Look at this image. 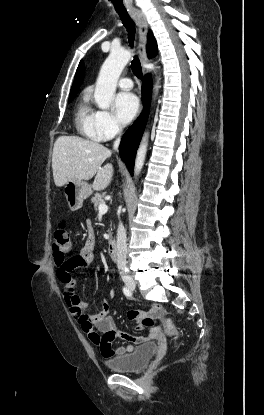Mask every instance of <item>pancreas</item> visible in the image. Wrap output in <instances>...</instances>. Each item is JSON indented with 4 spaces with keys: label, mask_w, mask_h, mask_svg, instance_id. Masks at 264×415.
I'll return each mask as SVG.
<instances>
[{
    "label": "pancreas",
    "mask_w": 264,
    "mask_h": 415,
    "mask_svg": "<svg viewBox=\"0 0 264 415\" xmlns=\"http://www.w3.org/2000/svg\"><path fill=\"white\" fill-rule=\"evenodd\" d=\"M91 201H92L94 209L96 211L98 210V207H99L100 204H105V201L103 199V195H101L99 193L95 194V196L92 198Z\"/></svg>",
    "instance_id": "obj_1"
}]
</instances>
